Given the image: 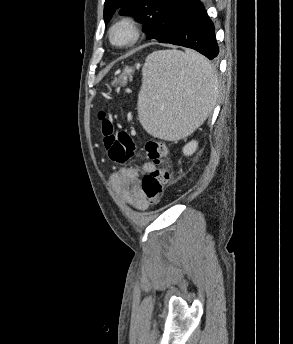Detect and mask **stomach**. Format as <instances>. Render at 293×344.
Instances as JSON below:
<instances>
[{"label": "stomach", "instance_id": "0dacf381", "mask_svg": "<svg viewBox=\"0 0 293 344\" xmlns=\"http://www.w3.org/2000/svg\"><path fill=\"white\" fill-rule=\"evenodd\" d=\"M131 72H133V69L131 68H127L125 69V71L123 72V74L121 75V77L119 79H114L112 81V85H115V84H121V85H125L126 84V77L127 75H129ZM109 87V85H107Z\"/></svg>", "mask_w": 293, "mask_h": 344}]
</instances>
